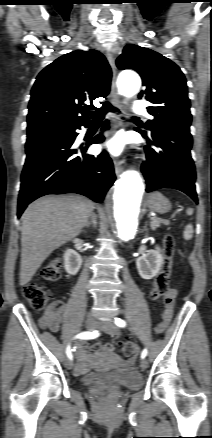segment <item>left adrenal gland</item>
<instances>
[{
	"label": "left adrenal gland",
	"mask_w": 212,
	"mask_h": 438,
	"mask_svg": "<svg viewBox=\"0 0 212 438\" xmlns=\"http://www.w3.org/2000/svg\"><path fill=\"white\" fill-rule=\"evenodd\" d=\"M148 229H147V222L145 223V226H144V228H143V231H147Z\"/></svg>",
	"instance_id": "1"
}]
</instances>
